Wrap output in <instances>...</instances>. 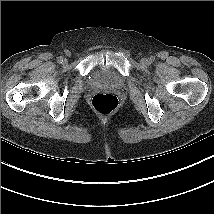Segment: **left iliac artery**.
<instances>
[{
	"label": "left iliac artery",
	"mask_w": 214,
	"mask_h": 214,
	"mask_svg": "<svg viewBox=\"0 0 214 214\" xmlns=\"http://www.w3.org/2000/svg\"><path fill=\"white\" fill-rule=\"evenodd\" d=\"M154 61V58L153 57H150V62H153Z\"/></svg>",
	"instance_id": "44dca946"
}]
</instances>
